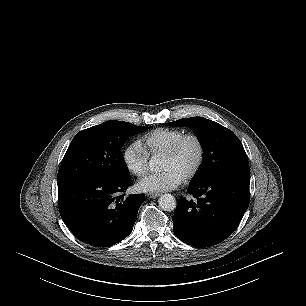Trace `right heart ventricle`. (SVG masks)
<instances>
[{"instance_id": "1", "label": "right heart ventricle", "mask_w": 306, "mask_h": 306, "mask_svg": "<svg viewBox=\"0 0 306 306\" xmlns=\"http://www.w3.org/2000/svg\"><path fill=\"white\" fill-rule=\"evenodd\" d=\"M184 132L178 129L158 128L141 138L143 148L152 156L163 155Z\"/></svg>"}]
</instances>
